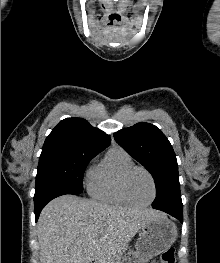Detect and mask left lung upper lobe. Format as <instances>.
Wrapping results in <instances>:
<instances>
[{"label": "left lung upper lobe", "instance_id": "left-lung-upper-lobe-1", "mask_svg": "<svg viewBox=\"0 0 220 263\" xmlns=\"http://www.w3.org/2000/svg\"><path fill=\"white\" fill-rule=\"evenodd\" d=\"M114 139L153 176L156 198L152 207L183 211L176 155L161 130L140 122L114 133Z\"/></svg>", "mask_w": 220, "mask_h": 263}]
</instances>
